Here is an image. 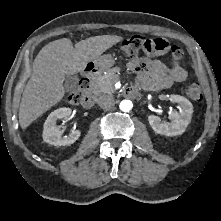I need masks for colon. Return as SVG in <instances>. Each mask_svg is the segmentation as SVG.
Segmentation results:
<instances>
[{
	"instance_id": "colon-1",
	"label": "colon",
	"mask_w": 221,
	"mask_h": 221,
	"mask_svg": "<svg viewBox=\"0 0 221 221\" xmlns=\"http://www.w3.org/2000/svg\"><path fill=\"white\" fill-rule=\"evenodd\" d=\"M165 49H168V43L165 40L161 38L144 39L139 35L132 36L120 44V51L127 57H135L140 50L162 51ZM170 49L178 50L182 57V51L179 47L172 46ZM89 87L90 86L83 79L80 80L76 88L69 94L67 102L72 105L82 104ZM186 92L187 95L194 101H201L203 98L201 87L198 83L189 84Z\"/></svg>"
}]
</instances>
